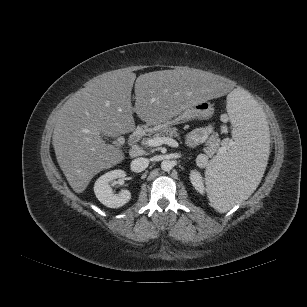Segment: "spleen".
Masks as SVG:
<instances>
[{
	"instance_id": "obj_1",
	"label": "spleen",
	"mask_w": 307,
	"mask_h": 307,
	"mask_svg": "<svg viewBox=\"0 0 307 307\" xmlns=\"http://www.w3.org/2000/svg\"><path fill=\"white\" fill-rule=\"evenodd\" d=\"M227 112L237 127L234 144L228 153L212 159L205 172L209 201L220 213L227 212L254 192L273 139L261 107L248 94L230 93Z\"/></svg>"
}]
</instances>
